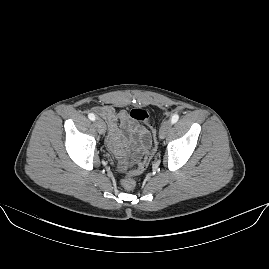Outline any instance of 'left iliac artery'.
<instances>
[{
    "label": "left iliac artery",
    "mask_w": 269,
    "mask_h": 269,
    "mask_svg": "<svg viewBox=\"0 0 269 269\" xmlns=\"http://www.w3.org/2000/svg\"><path fill=\"white\" fill-rule=\"evenodd\" d=\"M178 119H179V116L177 114H174L172 116L171 122L174 124V123H176L178 121Z\"/></svg>",
    "instance_id": "left-iliac-artery-1"
}]
</instances>
